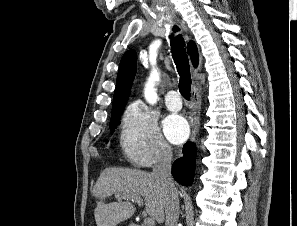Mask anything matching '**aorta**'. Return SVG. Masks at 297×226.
I'll list each match as a JSON object with an SVG mask.
<instances>
[{
  "instance_id": "obj_1",
  "label": "aorta",
  "mask_w": 297,
  "mask_h": 226,
  "mask_svg": "<svg viewBox=\"0 0 297 226\" xmlns=\"http://www.w3.org/2000/svg\"><path fill=\"white\" fill-rule=\"evenodd\" d=\"M160 79V73L157 69H153L147 79L144 88V97L147 103L154 105L157 102V93L155 84Z\"/></svg>"
}]
</instances>
